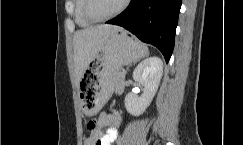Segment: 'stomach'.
<instances>
[{"label":"stomach","mask_w":243,"mask_h":145,"mask_svg":"<svg viewBox=\"0 0 243 145\" xmlns=\"http://www.w3.org/2000/svg\"><path fill=\"white\" fill-rule=\"evenodd\" d=\"M145 45L129 37L125 31L112 34L105 42L99 55L89 64L80 82L79 102L85 116H96L98 110L116 86V73L124 65L145 57Z\"/></svg>","instance_id":"stomach-1"}]
</instances>
